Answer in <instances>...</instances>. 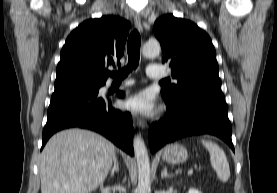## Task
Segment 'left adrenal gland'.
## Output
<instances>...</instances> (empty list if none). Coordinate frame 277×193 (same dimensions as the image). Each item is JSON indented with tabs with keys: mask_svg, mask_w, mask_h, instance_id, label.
<instances>
[{
	"mask_svg": "<svg viewBox=\"0 0 277 193\" xmlns=\"http://www.w3.org/2000/svg\"><path fill=\"white\" fill-rule=\"evenodd\" d=\"M172 174H168L167 172V167H164L163 171L161 172V178H164V177H171Z\"/></svg>",
	"mask_w": 277,
	"mask_h": 193,
	"instance_id": "left-adrenal-gland-1",
	"label": "left adrenal gland"
}]
</instances>
